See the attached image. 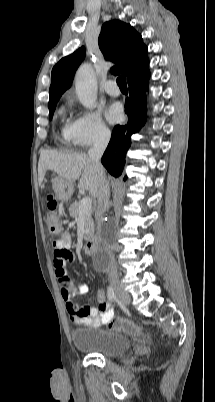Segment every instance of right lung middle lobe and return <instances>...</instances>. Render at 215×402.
Masks as SVG:
<instances>
[{
	"label": "right lung middle lobe",
	"mask_w": 215,
	"mask_h": 402,
	"mask_svg": "<svg viewBox=\"0 0 215 402\" xmlns=\"http://www.w3.org/2000/svg\"><path fill=\"white\" fill-rule=\"evenodd\" d=\"M58 100H59V98H55V99L49 101V116H50V119H52V116H53V113H54V110H55V107H56V104H57Z\"/></svg>",
	"instance_id": "dd1d6c3e"
}]
</instances>
